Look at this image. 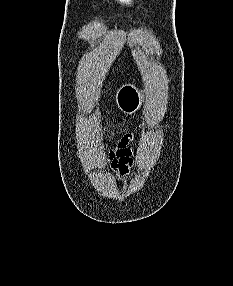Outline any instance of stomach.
Here are the masks:
<instances>
[{
	"label": "stomach",
	"instance_id": "stomach-1",
	"mask_svg": "<svg viewBox=\"0 0 233 286\" xmlns=\"http://www.w3.org/2000/svg\"><path fill=\"white\" fill-rule=\"evenodd\" d=\"M115 101L121 112L132 114L141 107L143 94L133 85L125 84L117 90Z\"/></svg>",
	"mask_w": 233,
	"mask_h": 286
}]
</instances>
